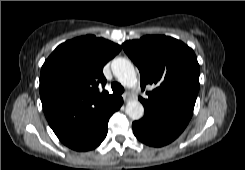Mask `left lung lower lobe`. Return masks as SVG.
<instances>
[{"label": "left lung lower lobe", "mask_w": 245, "mask_h": 170, "mask_svg": "<svg viewBox=\"0 0 245 170\" xmlns=\"http://www.w3.org/2000/svg\"><path fill=\"white\" fill-rule=\"evenodd\" d=\"M144 117L133 122L134 135L143 143L160 147L171 143L185 129L188 119L172 113L144 107Z\"/></svg>", "instance_id": "0a47b994"}]
</instances>
